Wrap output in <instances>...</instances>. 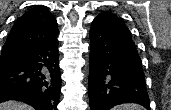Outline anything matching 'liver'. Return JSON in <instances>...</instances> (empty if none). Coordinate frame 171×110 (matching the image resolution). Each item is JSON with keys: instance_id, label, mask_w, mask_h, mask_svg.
<instances>
[{"instance_id": "1", "label": "liver", "mask_w": 171, "mask_h": 110, "mask_svg": "<svg viewBox=\"0 0 171 110\" xmlns=\"http://www.w3.org/2000/svg\"><path fill=\"white\" fill-rule=\"evenodd\" d=\"M0 110H32L30 106L16 101H7L0 104Z\"/></svg>"}]
</instances>
